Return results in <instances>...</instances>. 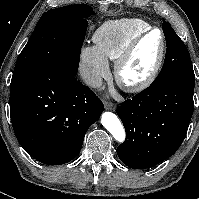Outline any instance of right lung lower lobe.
<instances>
[{"instance_id": "98d812e1", "label": "right lung lower lobe", "mask_w": 199, "mask_h": 199, "mask_svg": "<svg viewBox=\"0 0 199 199\" xmlns=\"http://www.w3.org/2000/svg\"><path fill=\"white\" fill-rule=\"evenodd\" d=\"M103 110L94 92L60 67L47 68L10 89L17 140L30 156L47 165L71 161Z\"/></svg>"}]
</instances>
